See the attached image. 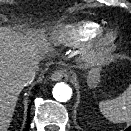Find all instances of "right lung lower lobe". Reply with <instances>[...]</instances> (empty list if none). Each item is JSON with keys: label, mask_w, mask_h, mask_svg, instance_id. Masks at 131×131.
<instances>
[{"label": "right lung lower lobe", "mask_w": 131, "mask_h": 131, "mask_svg": "<svg viewBox=\"0 0 131 131\" xmlns=\"http://www.w3.org/2000/svg\"><path fill=\"white\" fill-rule=\"evenodd\" d=\"M29 112H30V105H29V108H28V122H27V127H26L25 131H28L29 125H30V114H29Z\"/></svg>", "instance_id": "obj_1"}]
</instances>
